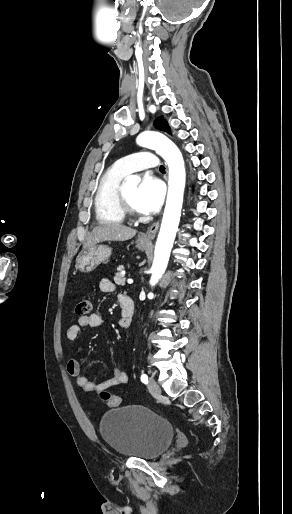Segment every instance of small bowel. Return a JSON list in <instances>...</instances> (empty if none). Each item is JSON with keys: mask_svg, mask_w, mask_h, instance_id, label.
<instances>
[{"mask_svg": "<svg viewBox=\"0 0 292 514\" xmlns=\"http://www.w3.org/2000/svg\"><path fill=\"white\" fill-rule=\"evenodd\" d=\"M99 289L102 293L110 294L115 291L114 283L108 279L103 278L99 282ZM131 320H127V315L121 308V317L119 319V326L123 329L126 325L127 328L130 326ZM103 324V318L99 313H92L90 315L81 316L78 318L77 323L72 324L67 329V339L71 342L77 341L82 329L86 327L100 328ZM78 352L83 351V347H78ZM67 372L75 379L76 384L81 387L87 393H100L111 387L122 385L127 383L128 375L127 372L119 365L113 369L112 376L108 379L93 382L88 376L82 374L80 360L77 357H72L67 362Z\"/></svg>", "mask_w": 292, "mask_h": 514, "instance_id": "c3829d8e", "label": "small bowel"}]
</instances>
